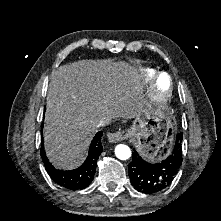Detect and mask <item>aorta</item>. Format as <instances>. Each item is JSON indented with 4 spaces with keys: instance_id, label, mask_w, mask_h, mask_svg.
<instances>
[{
    "instance_id": "762f6f07",
    "label": "aorta",
    "mask_w": 221,
    "mask_h": 221,
    "mask_svg": "<svg viewBox=\"0 0 221 221\" xmlns=\"http://www.w3.org/2000/svg\"><path fill=\"white\" fill-rule=\"evenodd\" d=\"M115 155L120 160H127L131 157V149L125 144H119L115 147Z\"/></svg>"
}]
</instances>
